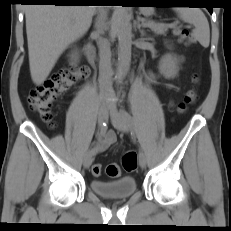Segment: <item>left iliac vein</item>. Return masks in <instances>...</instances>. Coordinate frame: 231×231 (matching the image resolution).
I'll list each match as a JSON object with an SVG mask.
<instances>
[{"instance_id":"1","label":"left iliac vein","mask_w":231,"mask_h":231,"mask_svg":"<svg viewBox=\"0 0 231 231\" xmlns=\"http://www.w3.org/2000/svg\"><path fill=\"white\" fill-rule=\"evenodd\" d=\"M108 107L110 119L115 129L127 133L129 126L124 116L117 110L115 103H110ZM139 164L142 169L146 167V156L142 151L139 153Z\"/></svg>"}]
</instances>
